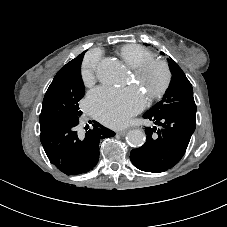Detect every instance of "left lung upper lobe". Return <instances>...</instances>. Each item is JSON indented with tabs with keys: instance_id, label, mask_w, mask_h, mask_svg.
<instances>
[{
	"instance_id": "5c2ea615",
	"label": "left lung upper lobe",
	"mask_w": 227,
	"mask_h": 227,
	"mask_svg": "<svg viewBox=\"0 0 227 227\" xmlns=\"http://www.w3.org/2000/svg\"><path fill=\"white\" fill-rule=\"evenodd\" d=\"M172 79L162 100L154 105L148 112L163 114L172 111L196 115V104L193 98V88L182 69L172 60L168 59Z\"/></svg>"
}]
</instances>
